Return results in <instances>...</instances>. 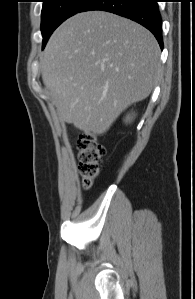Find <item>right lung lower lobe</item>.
I'll return each mask as SVG.
<instances>
[{"mask_svg": "<svg viewBox=\"0 0 195 299\" xmlns=\"http://www.w3.org/2000/svg\"><path fill=\"white\" fill-rule=\"evenodd\" d=\"M90 10L111 12L143 25L163 48L162 20L157 0H88L79 12Z\"/></svg>", "mask_w": 195, "mask_h": 299, "instance_id": "1", "label": "right lung lower lobe"}]
</instances>
